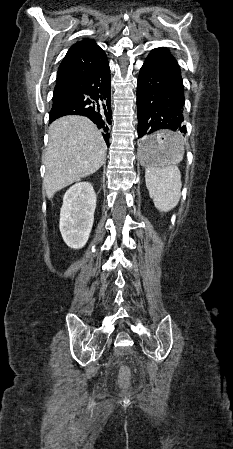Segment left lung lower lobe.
<instances>
[{
	"mask_svg": "<svg viewBox=\"0 0 233 449\" xmlns=\"http://www.w3.org/2000/svg\"><path fill=\"white\" fill-rule=\"evenodd\" d=\"M184 102L180 66L163 51L153 49L141 67L137 81L138 139L143 147L154 150L177 143L179 137L169 131L156 134L160 130L186 133Z\"/></svg>",
	"mask_w": 233,
	"mask_h": 449,
	"instance_id": "1",
	"label": "left lung lower lobe"
}]
</instances>
